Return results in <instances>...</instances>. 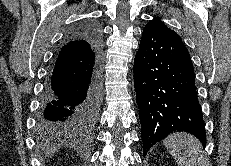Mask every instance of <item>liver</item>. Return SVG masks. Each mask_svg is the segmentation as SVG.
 I'll return each instance as SVG.
<instances>
[{"label":"liver","mask_w":231,"mask_h":166,"mask_svg":"<svg viewBox=\"0 0 231 166\" xmlns=\"http://www.w3.org/2000/svg\"><path fill=\"white\" fill-rule=\"evenodd\" d=\"M56 151H57V147L47 146L46 147V156L49 157V156L53 155Z\"/></svg>","instance_id":"liver-1"}]
</instances>
